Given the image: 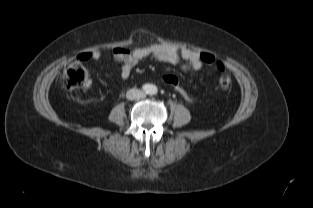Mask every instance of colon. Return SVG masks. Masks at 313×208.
I'll return each instance as SVG.
<instances>
[{"label":"colon","instance_id":"obj_1","mask_svg":"<svg viewBox=\"0 0 313 208\" xmlns=\"http://www.w3.org/2000/svg\"><path fill=\"white\" fill-rule=\"evenodd\" d=\"M200 59L205 64H216L219 71L218 83L223 89H228L231 86V77L225 72L224 67L220 63H216V57L212 53L202 52L200 53ZM88 80V71L80 60H73L65 67L62 76V84L65 88L76 89L85 87L88 84ZM163 80L173 87L178 99L188 104L193 103V98L176 75L167 74L163 76Z\"/></svg>","mask_w":313,"mask_h":208}]
</instances>
